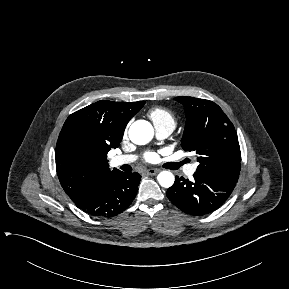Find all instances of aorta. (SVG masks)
<instances>
[{
	"mask_svg": "<svg viewBox=\"0 0 289 289\" xmlns=\"http://www.w3.org/2000/svg\"><path fill=\"white\" fill-rule=\"evenodd\" d=\"M128 134L134 144L145 145L152 140L154 129L148 121L137 120L130 126ZM157 180L160 186L169 188L174 184L175 177L169 171H162L158 174Z\"/></svg>",
	"mask_w": 289,
	"mask_h": 289,
	"instance_id": "obj_1",
	"label": "aorta"
}]
</instances>
